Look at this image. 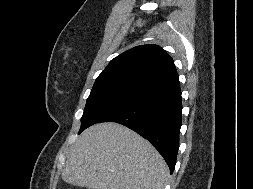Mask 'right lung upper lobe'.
Segmentation results:
<instances>
[{"label": "right lung upper lobe", "instance_id": "obj_1", "mask_svg": "<svg viewBox=\"0 0 253 189\" xmlns=\"http://www.w3.org/2000/svg\"><path fill=\"white\" fill-rule=\"evenodd\" d=\"M177 81L174 62L166 51L158 45H141L111 60L92 89L127 86L149 92Z\"/></svg>", "mask_w": 253, "mask_h": 189}]
</instances>
